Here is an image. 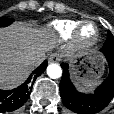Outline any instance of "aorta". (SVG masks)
<instances>
[{
	"label": "aorta",
	"instance_id": "aorta-1",
	"mask_svg": "<svg viewBox=\"0 0 114 114\" xmlns=\"http://www.w3.org/2000/svg\"><path fill=\"white\" fill-rule=\"evenodd\" d=\"M47 74L52 79H57L62 75V69L58 64H50L47 67Z\"/></svg>",
	"mask_w": 114,
	"mask_h": 114
}]
</instances>
